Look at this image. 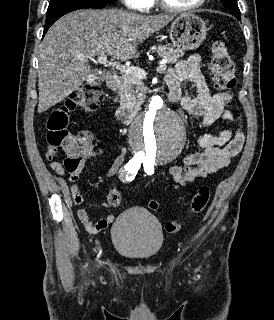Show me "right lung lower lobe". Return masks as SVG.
Masks as SVG:
<instances>
[{"label": "right lung lower lobe", "instance_id": "obj_1", "mask_svg": "<svg viewBox=\"0 0 274 320\" xmlns=\"http://www.w3.org/2000/svg\"><path fill=\"white\" fill-rule=\"evenodd\" d=\"M107 4L103 3V4H89V5H81V6H74V7H68V8H64L62 10L56 11L54 13H51L49 15H47L46 17V23H45V28H44V33H43V37L46 34L47 30L49 29V27L57 20L59 19L61 16H63L64 14H67L69 12L78 10V9H86V8H97V9H101L104 8Z\"/></svg>", "mask_w": 274, "mask_h": 320}]
</instances>
